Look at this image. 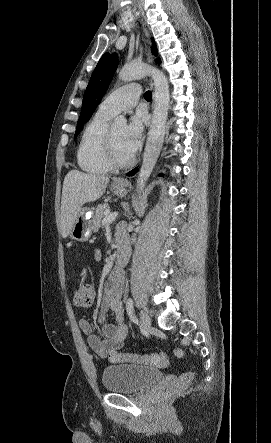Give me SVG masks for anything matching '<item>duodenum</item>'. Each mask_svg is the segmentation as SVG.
Returning a JSON list of instances; mask_svg holds the SVG:
<instances>
[{"label":"duodenum","mask_w":271,"mask_h":443,"mask_svg":"<svg viewBox=\"0 0 271 443\" xmlns=\"http://www.w3.org/2000/svg\"><path fill=\"white\" fill-rule=\"evenodd\" d=\"M126 260V255L124 252H121L118 258V266H122Z\"/></svg>","instance_id":"410a0bca"}]
</instances>
